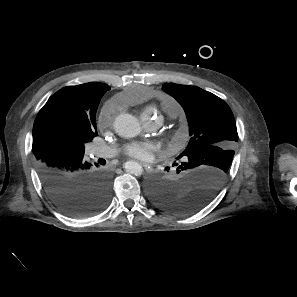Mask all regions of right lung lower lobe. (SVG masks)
I'll list each match as a JSON object with an SVG mask.
<instances>
[{
	"mask_svg": "<svg viewBox=\"0 0 297 297\" xmlns=\"http://www.w3.org/2000/svg\"><path fill=\"white\" fill-rule=\"evenodd\" d=\"M96 167L84 159V154L62 152H53L37 163L45 192L71 216L91 215L107 204L110 179L105 170Z\"/></svg>",
	"mask_w": 297,
	"mask_h": 297,
	"instance_id": "right-lung-lower-lobe-1",
	"label": "right lung lower lobe"
}]
</instances>
